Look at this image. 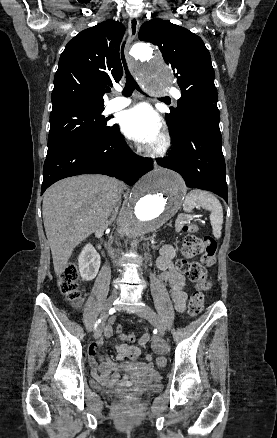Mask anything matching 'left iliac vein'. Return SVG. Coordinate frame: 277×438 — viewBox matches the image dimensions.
I'll list each match as a JSON object with an SVG mask.
<instances>
[{
    "label": "left iliac vein",
    "mask_w": 277,
    "mask_h": 438,
    "mask_svg": "<svg viewBox=\"0 0 277 438\" xmlns=\"http://www.w3.org/2000/svg\"><path fill=\"white\" fill-rule=\"evenodd\" d=\"M137 315L150 321L157 328L159 336L163 337L165 335V328L153 309L145 306L141 311L137 312Z\"/></svg>",
    "instance_id": "1"
}]
</instances>
